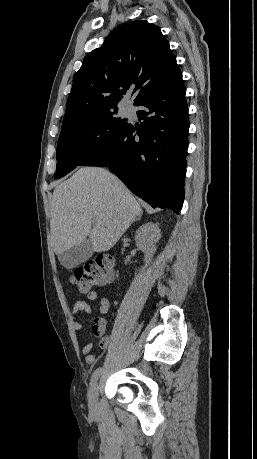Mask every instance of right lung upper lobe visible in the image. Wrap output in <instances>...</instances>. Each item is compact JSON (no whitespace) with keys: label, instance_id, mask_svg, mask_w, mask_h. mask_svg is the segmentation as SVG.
I'll use <instances>...</instances> for the list:
<instances>
[{"label":"right lung upper lobe","instance_id":"right-lung-upper-lobe-1","mask_svg":"<svg viewBox=\"0 0 257 459\" xmlns=\"http://www.w3.org/2000/svg\"><path fill=\"white\" fill-rule=\"evenodd\" d=\"M179 74L176 58L157 26L141 20L123 24L84 58L74 75L62 130L116 108L129 89L137 92L136 105Z\"/></svg>","mask_w":257,"mask_h":459}]
</instances>
